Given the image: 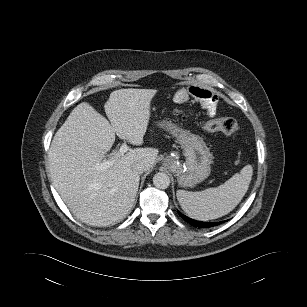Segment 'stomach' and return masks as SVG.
<instances>
[{
	"mask_svg": "<svg viewBox=\"0 0 307 307\" xmlns=\"http://www.w3.org/2000/svg\"><path fill=\"white\" fill-rule=\"evenodd\" d=\"M159 125L176 137L184 150L185 166L179 162L177 153L163 160L164 166L177 175L178 185L191 187L204 181L211 173L212 162V155L204 140L171 122H161Z\"/></svg>",
	"mask_w": 307,
	"mask_h": 307,
	"instance_id": "stomach-1",
	"label": "stomach"
}]
</instances>
